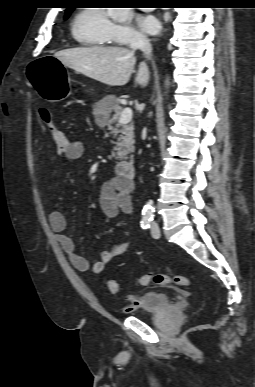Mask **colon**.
<instances>
[{"label":"colon","instance_id":"1","mask_svg":"<svg viewBox=\"0 0 255 387\" xmlns=\"http://www.w3.org/2000/svg\"><path fill=\"white\" fill-rule=\"evenodd\" d=\"M39 116L43 124L49 130L59 154L66 152L69 148L70 141L67 136L55 126L50 111L47 108L41 107L39 109ZM138 282L141 286L154 284L157 286L189 287L191 285V281L185 276L166 274H144L139 277ZM105 286L112 294H117L120 291L119 283L115 279H107Z\"/></svg>","mask_w":255,"mask_h":387}]
</instances>
